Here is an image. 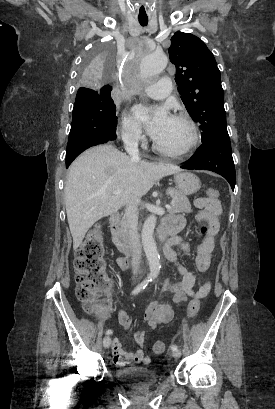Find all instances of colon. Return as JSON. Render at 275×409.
I'll use <instances>...</instances> for the list:
<instances>
[{
    "label": "colon",
    "instance_id": "colon-1",
    "mask_svg": "<svg viewBox=\"0 0 275 409\" xmlns=\"http://www.w3.org/2000/svg\"><path fill=\"white\" fill-rule=\"evenodd\" d=\"M211 199L219 196L215 188L207 191ZM201 236L206 235L208 226L201 223L198 227ZM105 246L103 243L102 227L95 225L86 235L82 246L77 251L75 261V281L77 283L76 297L82 303L85 312L88 315L104 314L113 303V296L110 289L113 286V280L107 273V263L104 258ZM200 309V298H193L187 309V317L194 318ZM153 349L155 356L161 357L165 350V344L156 342Z\"/></svg>",
    "mask_w": 275,
    "mask_h": 409
}]
</instances>
